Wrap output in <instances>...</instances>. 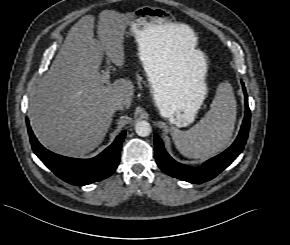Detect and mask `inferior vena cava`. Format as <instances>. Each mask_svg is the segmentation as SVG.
I'll return each mask as SVG.
<instances>
[{
	"label": "inferior vena cava",
	"mask_w": 290,
	"mask_h": 245,
	"mask_svg": "<svg viewBox=\"0 0 290 245\" xmlns=\"http://www.w3.org/2000/svg\"><path fill=\"white\" fill-rule=\"evenodd\" d=\"M112 111L123 110V104L120 101H114L111 104Z\"/></svg>",
	"instance_id": "1"
}]
</instances>
